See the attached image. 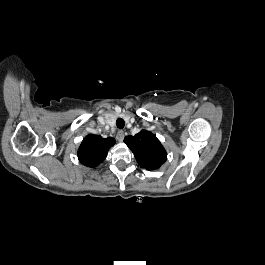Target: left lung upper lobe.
Masks as SVG:
<instances>
[{
  "label": "left lung upper lobe",
  "mask_w": 265,
  "mask_h": 265,
  "mask_svg": "<svg viewBox=\"0 0 265 265\" xmlns=\"http://www.w3.org/2000/svg\"><path fill=\"white\" fill-rule=\"evenodd\" d=\"M124 142L132 150L142 168L158 169L167 159L165 149L150 131L142 130L135 136H126Z\"/></svg>",
  "instance_id": "1"
}]
</instances>
